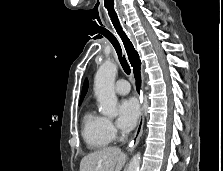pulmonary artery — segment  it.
I'll list each match as a JSON object with an SVG mask.
<instances>
[{"instance_id":"obj_1","label":"pulmonary artery","mask_w":223,"mask_h":171,"mask_svg":"<svg viewBox=\"0 0 223 171\" xmlns=\"http://www.w3.org/2000/svg\"><path fill=\"white\" fill-rule=\"evenodd\" d=\"M114 89H115L116 93H118L120 95H125V94L129 93L130 85H129L128 81H126L125 79H119L116 81Z\"/></svg>"}]
</instances>
